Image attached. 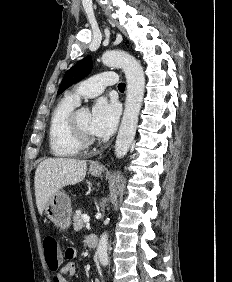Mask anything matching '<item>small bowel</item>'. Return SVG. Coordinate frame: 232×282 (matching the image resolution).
Wrapping results in <instances>:
<instances>
[{
  "mask_svg": "<svg viewBox=\"0 0 232 282\" xmlns=\"http://www.w3.org/2000/svg\"><path fill=\"white\" fill-rule=\"evenodd\" d=\"M76 256V251L73 248L66 249L65 258L68 260L60 269H58L53 276V282H68L66 275H76V265L72 261ZM94 282H100L99 279H95Z\"/></svg>",
  "mask_w": 232,
  "mask_h": 282,
  "instance_id": "1",
  "label": "small bowel"
}]
</instances>
